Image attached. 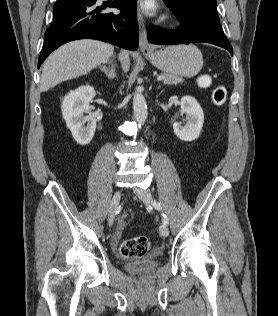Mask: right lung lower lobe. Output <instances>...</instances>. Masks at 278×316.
I'll return each instance as SVG.
<instances>
[{"mask_svg":"<svg viewBox=\"0 0 278 316\" xmlns=\"http://www.w3.org/2000/svg\"><path fill=\"white\" fill-rule=\"evenodd\" d=\"M119 8V14L106 8ZM137 0H114L96 5V0H57L54 21L46 30L38 68L64 43L96 39L135 51L138 48Z\"/></svg>","mask_w":278,"mask_h":316,"instance_id":"98d812e1","label":"right lung lower lobe"}]
</instances>
